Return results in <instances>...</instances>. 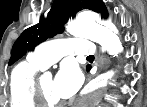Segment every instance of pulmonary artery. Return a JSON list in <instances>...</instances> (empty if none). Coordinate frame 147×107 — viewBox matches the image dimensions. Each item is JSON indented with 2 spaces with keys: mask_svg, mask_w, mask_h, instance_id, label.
I'll use <instances>...</instances> for the list:
<instances>
[{
  "mask_svg": "<svg viewBox=\"0 0 147 107\" xmlns=\"http://www.w3.org/2000/svg\"><path fill=\"white\" fill-rule=\"evenodd\" d=\"M94 52V43L89 40L63 38L40 45L30 54V59L47 68L56 63L64 55H93Z\"/></svg>",
  "mask_w": 147,
  "mask_h": 107,
  "instance_id": "1",
  "label": "pulmonary artery"
}]
</instances>
